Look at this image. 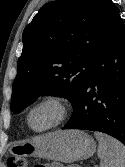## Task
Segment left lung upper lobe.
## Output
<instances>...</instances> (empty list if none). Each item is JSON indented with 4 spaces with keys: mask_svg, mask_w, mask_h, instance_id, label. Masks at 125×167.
<instances>
[{
    "mask_svg": "<svg viewBox=\"0 0 125 167\" xmlns=\"http://www.w3.org/2000/svg\"><path fill=\"white\" fill-rule=\"evenodd\" d=\"M118 16L112 0H56L42 6L22 35L11 111L18 114L41 95L74 105Z\"/></svg>",
    "mask_w": 125,
    "mask_h": 167,
    "instance_id": "obj_1",
    "label": "left lung upper lobe"
}]
</instances>
